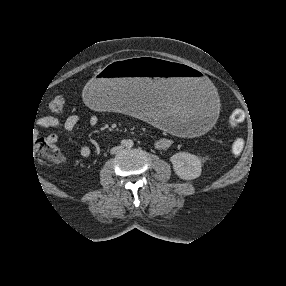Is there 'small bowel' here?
<instances>
[{
	"mask_svg": "<svg viewBox=\"0 0 286 286\" xmlns=\"http://www.w3.org/2000/svg\"><path fill=\"white\" fill-rule=\"evenodd\" d=\"M80 122V118L76 115H71L69 117H67L64 120H60L58 118L55 117H44L41 119L39 127L40 128H55V129H64L67 131H70L72 129H74ZM89 123L91 125H95L97 123V119L96 117H90L89 119ZM49 139H51L52 141H57L58 137L57 135H50ZM172 145V139L169 137H163L160 138L157 143L156 146L159 149H168L170 148ZM91 148L87 145L82 146L80 149V155L83 158H88L91 155Z\"/></svg>",
	"mask_w": 286,
	"mask_h": 286,
	"instance_id": "c3829d8e",
	"label": "small bowel"
}]
</instances>
